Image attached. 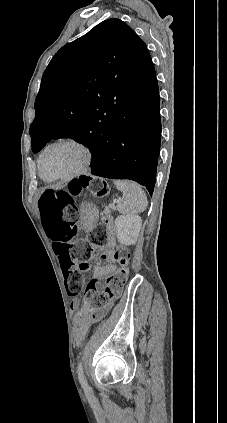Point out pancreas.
Returning <instances> with one entry per match:
<instances>
[{
  "mask_svg": "<svg viewBox=\"0 0 227 423\" xmlns=\"http://www.w3.org/2000/svg\"><path fill=\"white\" fill-rule=\"evenodd\" d=\"M104 211H105V213H108V211H110V210H109V208H105Z\"/></svg>",
  "mask_w": 227,
  "mask_h": 423,
  "instance_id": "cf45deb5",
  "label": "pancreas"
}]
</instances>
